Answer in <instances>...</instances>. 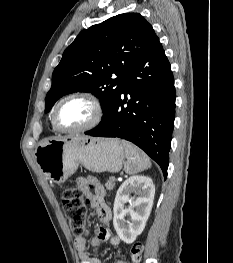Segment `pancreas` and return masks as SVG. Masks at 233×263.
<instances>
[{
    "label": "pancreas",
    "mask_w": 233,
    "mask_h": 263,
    "mask_svg": "<svg viewBox=\"0 0 233 263\" xmlns=\"http://www.w3.org/2000/svg\"><path fill=\"white\" fill-rule=\"evenodd\" d=\"M105 186H106L107 190L111 191V190L114 188L115 183H114V181L110 178V179L106 182Z\"/></svg>",
    "instance_id": "obj_1"
}]
</instances>
